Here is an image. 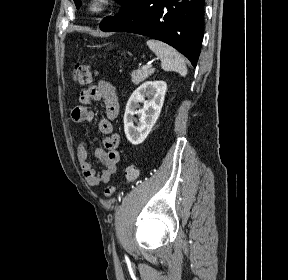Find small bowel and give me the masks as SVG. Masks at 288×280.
Wrapping results in <instances>:
<instances>
[{"label":"small bowel","instance_id":"obj_1","mask_svg":"<svg viewBox=\"0 0 288 280\" xmlns=\"http://www.w3.org/2000/svg\"><path fill=\"white\" fill-rule=\"evenodd\" d=\"M100 101L104 107L105 116L98 122V132L101 135L102 148L95 150V157L102 163L103 168L97 171L89 161L87 144L81 142L77 150V159L83 176L90 186L108 183L117 171L120 160L118 151L120 136L114 131L113 120L119 113V102L116 88L105 80L82 89L79 94L80 105L71 111V119L75 123L90 122L94 119V112L89 105Z\"/></svg>","mask_w":288,"mask_h":280}]
</instances>
